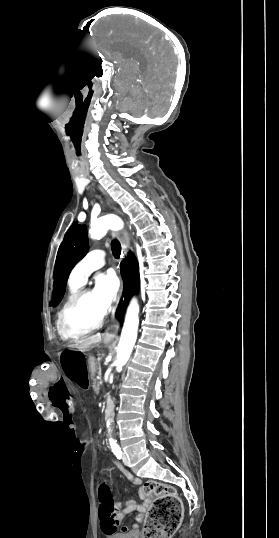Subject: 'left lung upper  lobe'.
Listing matches in <instances>:
<instances>
[{
    "label": "left lung upper lobe",
    "mask_w": 279,
    "mask_h": 538,
    "mask_svg": "<svg viewBox=\"0 0 279 538\" xmlns=\"http://www.w3.org/2000/svg\"><path fill=\"white\" fill-rule=\"evenodd\" d=\"M87 227L76 222L72 224L65 234L56 263L53 285V300L50 306L58 304L65 293L68 276L77 262L88 252Z\"/></svg>",
    "instance_id": "left-lung-upper-lobe-1"
}]
</instances>
